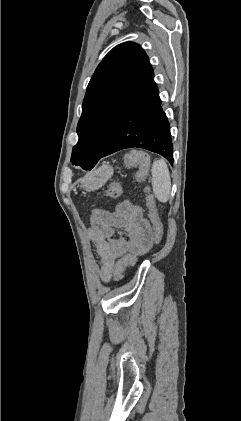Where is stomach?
Segmentation results:
<instances>
[{
	"instance_id": "stomach-1",
	"label": "stomach",
	"mask_w": 241,
	"mask_h": 421,
	"mask_svg": "<svg viewBox=\"0 0 241 421\" xmlns=\"http://www.w3.org/2000/svg\"><path fill=\"white\" fill-rule=\"evenodd\" d=\"M113 175V168L103 164L90 173L82 182V187L87 191H93L103 186Z\"/></svg>"
}]
</instances>
